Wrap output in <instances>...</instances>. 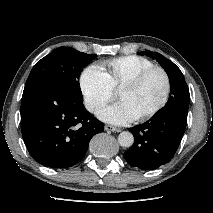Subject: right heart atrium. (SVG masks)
Instances as JSON below:
<instances>
[{
    "label": "right heart atrium",
    "mask_w": 213,
    "mask_h": 213,
    "mask_svg": "<svg viewBox=\"0 0 213 213\" xmlns=\"http://www.w3.org/2000/svg\"><path fill=\"white\" fill-rule=\"evenodd\" d=\"M79 84L85 106L91 112L98 111L114 97L109 79L98 65L87 66L80 75Z\"/></svg>",
    "instance_id": "d8ad5b80"
}]
</instances>
